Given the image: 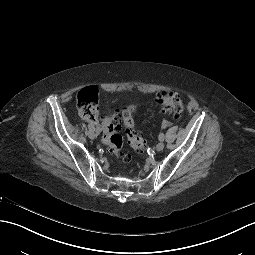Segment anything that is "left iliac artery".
I'll return each mask as SVG.
<instances>
[{
  "label": "left iliac artery",
  "instance_id": "obj_1",
  "mask_svg": "<svg viewBox=\"0 0 255 255\" xmlns=\"http://www.w3.org/2000/svg\"><path fill=\"white\" fill-rule=\"evenodd\" d=\"M158 138H159L160 141H163L164 138H165L164 133H160L159 136H158Z\"/></svg>",
  "mask_w": 255,
  "mask_h": 255
}]
</instances>
